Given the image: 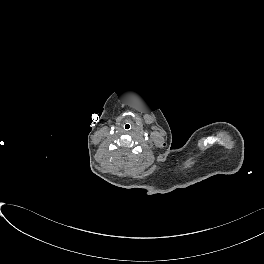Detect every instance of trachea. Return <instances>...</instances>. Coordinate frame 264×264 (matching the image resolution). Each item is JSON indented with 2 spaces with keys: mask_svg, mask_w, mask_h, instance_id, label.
<instances>
[{
  "mask_svg": "<svg viewBox=\"0 0 264 264\" xmlns=\"http://www.w3.org/2000/svg\"><path fill=\"white\" fill-rule=\"evenodd\" d=\"M123 129H124V131H130L131 129H132V124L130 123V122H125L124 124H123Z\"/></svg>",
  "mask_w": 264,
  "mask_h": 264,
  "instance_id": "trachea-1",
  "label": "trachea"
}]
</instances>
